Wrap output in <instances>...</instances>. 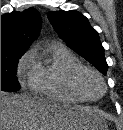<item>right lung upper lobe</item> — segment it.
Here are the masks:
<instances>
[{
  "label": "right lung upper lobe",
  "instance_id": "obj_1",
  "mask_svg": "<svg viewBox=\"0 0 123 130\" xmlns=\"http://www.w3.org/2000/svg\"><path fill=\"white\" fill-rule=\"evenodd\" d=\"M41 30V16L35 8L1 16V55L25 53Z\"/></svg>",
  "mask_w": 123,
  "mask_h": 130
}]
</instances>
